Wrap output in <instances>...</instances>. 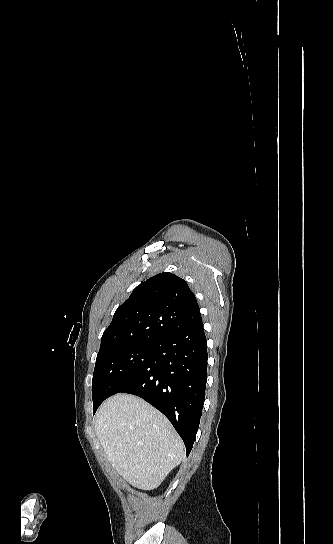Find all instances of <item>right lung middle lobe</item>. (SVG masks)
<instances>
[{
	"label": "right lung middle lobe",
	"instance_id": "right-lung-middle-lobe-1",
	"mask_svg": "<svg viewBox=\"0 0 333 544\" xmlns=\"http://www.w3.org/2000/svg\"><path fill=\"white\" fill-rule=\"evenodd\" d=\"M154 345L155 342L132 343L98 353L92 385L94 412L133 379L148 362Z\"/></svg>",
	"mask_w": 333,
	"mask_h": 544
}]
</instances>
